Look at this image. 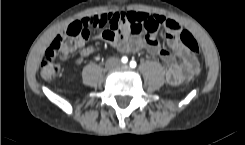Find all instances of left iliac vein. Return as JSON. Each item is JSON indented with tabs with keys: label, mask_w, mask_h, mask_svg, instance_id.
Segmentation results:
<instances>
[{
	"label": "left iliac vein",
	"mask_w": 245,
	"mask_h": 145,
	"mask_svg": "<svg viewBox=\"0 0 245 145\" xmlns=\"http://www.w3.org/2000/svg\"><path fill=\"white\" fill-rule=\"evenodd\" d=\"M123 67L127 68V65H123Z\"/></svg>",
	"instance_id": "4c4485c4"
}]
</instances>
